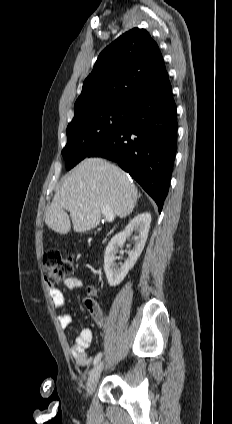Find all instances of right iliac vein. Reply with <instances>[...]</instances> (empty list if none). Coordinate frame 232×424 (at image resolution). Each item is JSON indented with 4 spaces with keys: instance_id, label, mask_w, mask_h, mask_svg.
Segmentation results:
<instances>
[{
    "instance_id": "right-iliac-vein-1",
    "label": "right iliac vein",
    "mask_w": 232,
    "mask_h": 424,
    "mask_svg": "<svg viewBox=\"0 0 232 424\" xmlns=\"http://www.w3.org/2000/svg\"><path fill=\"white\" fill-rule=\"evenodd\" d=\"M102 368H103V363L102 362H99L91 370V372L89 374L88 381H87V388H86V391H87V394L88 395H91L94 392L95 387H96V385L98 383V380L100 378V374H101Z\"/></svg>"
}]
</instances>
